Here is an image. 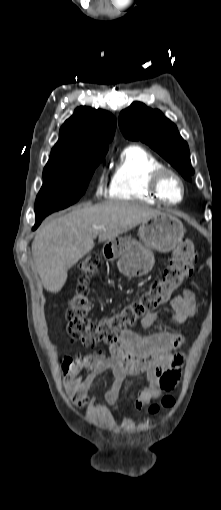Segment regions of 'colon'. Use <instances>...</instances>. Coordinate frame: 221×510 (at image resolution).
<instances>
[{"instance_id":"1","label":"colon","mask_w":221,"mask_h":510,"mask_svg":"<svg viewBox=\"0 0 221 510\" xmlns=\"http://www.w3.org/2000/svg\"><path fill=\"white\" fill-rule=\"evenodd\" d=\"M196 261L197 253L193 242L182 241L174 250L162 276L155 279L147 290L119 311L93 321L89 318V282L97 271L99 257L87 256L79 264V282L69 299L66 310L70 336L80 340L86 347L117 342L122 333L134 327L145 315L171 299L173 293L181 288L191 275ZM173 405L174 398L164 395L159 403L150 407V412L157 413L160 408L167 409Z\"/></svg>"}]
</instances>
